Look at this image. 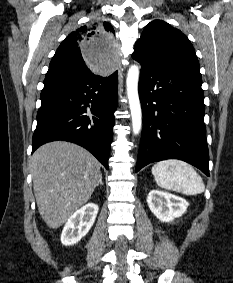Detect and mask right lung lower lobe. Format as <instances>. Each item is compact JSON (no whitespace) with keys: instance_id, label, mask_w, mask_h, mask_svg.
Segmentation results:
<instances>
[{"instance_id":"1","label":"right lung lower lobe","mask_w":233,"mask_h":283,"mask_svg":"<svg viewBox=\"0 0 233 283\" xmlns=\"http://www.w3.org/2000/svg\"><path fill=\"white\" fill-rule=\"evenodd\" d=\"M117 83V71L46 78L32 153L44 143L65 140L86 148L108 169Z\"/></svg>"}]
</instances>
